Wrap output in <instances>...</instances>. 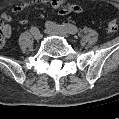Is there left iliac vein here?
I'll return each mask as SVG.
<instances>
[{
  "label": "left iliac vein",
  "mask_w": 119,
  "mask_h": 119,
  "mask_svg": "<svg viewBox=\"0 0 119 119\" xmlns=\"http://www.w3.org/2000/svg\"><path fill=\"white\" fill-rule=\"evenodd\" d=\"M45 33H47L49 35H59V36L69 37L67 32H65L63 30L53 29L50 27H46Z\"/></svg>",
  "instance_id": "4c4485c4"
}]
</instances>
